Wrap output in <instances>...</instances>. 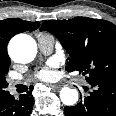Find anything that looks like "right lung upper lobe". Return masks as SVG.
I'll return each mask as SVG.
<instances>
[{"label": "right lung upper lobe", "instance_id": "obj_1", "mask_svg": "<svg viewBox=\"0 0 116 116\" xmlns=\"http://www.w3.org/2000/svg\"><path fill=\"white\" fill-rule=\"evenodd\" d=\"M39 24V22L23 21L16 18L0 20V68H4L11 62L7 53L9 40L18 33L36 30Z\"/></svg>", "mask_w": 116, "mask_h": 116}]
</instances>
